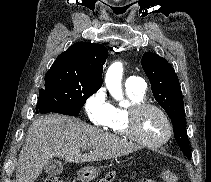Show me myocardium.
Listing matches in <instances>:
<instances>
[{
    "instance_id": "1",
    "label": "myocardium",
    "mask_w": 211,
    "mask_h": 182,
    "mask_svg": "<svg viewBox=\"0 0 211 182\" xmlns=\"http://www.w3.org/2000/svg\"><path fill=\"white\" fill-rule=\"evenodd\" d=\"M148 109L156 110L162 116V118L164 119L166 123V128H167L166 133L163 136V138L157 142L146 141L142 139L138 133V129H137L138 118L141 113H143L144 111ZM127 132L129 136L140 145L144 147H149V148H159L165 145L172 137L173 125H172L170 117L168 116V114L162 107L154 103L141 101V102L132 104L130 108L128 109Z\"/></svg>"
}]
</instances>
